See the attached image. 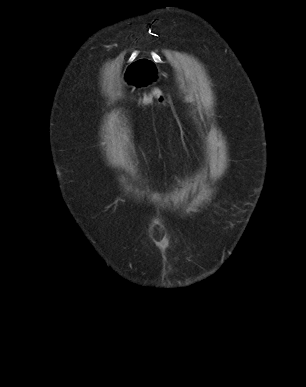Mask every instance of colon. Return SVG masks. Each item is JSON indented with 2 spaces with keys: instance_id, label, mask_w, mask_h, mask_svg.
<instances>
[{
  "instance_id": "colon-1",
  "label": "colon",
  "mask_w": 306,
  "mask_h": 387,
  "mask_svg": "<svg viewBox=\"0 0 306 387\" xmlns=\"http://www.w3.org/2000/svg\"><path fill=\"white\" fill-rule=\"evenodd\" d=\"M152 98H156V99H159V100L161 99V93H160V91H159L158 89H154V90L151 92L150 96L147 98L146 104H149V103H150V100H151Z\"/></svg>"
}]
</instances>
